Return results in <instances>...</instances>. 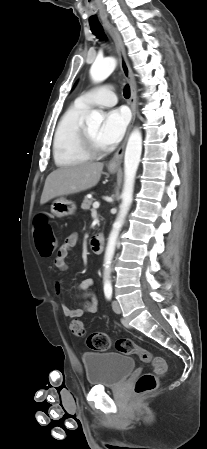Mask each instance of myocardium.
Returning <instances> with one entry per match:
<instances>
[{"mask_svg": "<svg viewBox=\"0 0 207 449\" xmlns=\"http://www.w3.org/2000/svg\"><path fill=\"white\" fill-rule=\"evenodd\" d=\"M79 146L81 150L89 157H97L106 152V148L104 146H100L93 141L86 129V126L83 124L79 130Z\"/></svg>", "mask_w": 207, "mask_h": 449, "instance_id": "f54148a6", "label": "myocardium"}]
</instances>
